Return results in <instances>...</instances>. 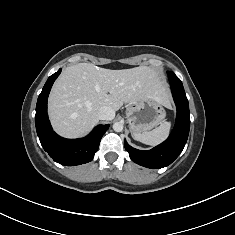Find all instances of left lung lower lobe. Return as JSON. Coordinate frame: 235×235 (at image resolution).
<instances>
[{
	"label": "left lung lower lobe",
	"instance_id": "0a47b994",
	"mask_svg": "<svg viewBox=\"0 0 235 235\" xmlns=\"http://www.w3.org/2000/svg\"><path fill=\"white\" fill-rule=\"evenodd\" d=\"M167 74L177 108L176 123L172 133L163 143L147 151L137 150L124 142L132 161L152 169L166 167L179 156L186 144L190 129L189 104L183 84L173 72L168 71Z\"/></svg>",
	"mask_w": 235,
	"mask_h": 235
}]
</instances>
